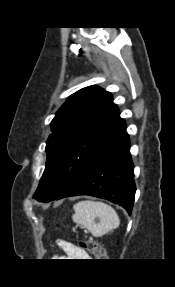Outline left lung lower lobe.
I'll use <instances>...</instances> for the list:
<instances>
[{"label": "left lung lower lobe", "instance_id": "0a47b994", "mask_svg": "<svg viewBox=\"0 0 175 287\" xmlns=\"http://www.w3.org/2000/svg\"><path fill=\"white\" fill-rule=\"evenodd\" d=\"M126 128L94 157L87 169L55 199L90 195L107 199L132 211L135 183Z\"/></svg>", "mask_w": 175, "mask_h": 287}]
</instances>
